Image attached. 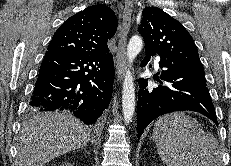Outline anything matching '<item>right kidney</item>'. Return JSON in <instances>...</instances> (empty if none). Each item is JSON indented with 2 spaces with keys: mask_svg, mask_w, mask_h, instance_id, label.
I'll use <instances>...</instances> for the list:
<instances>
[{
  "mask_svg": "<svg viewBox=\"0 0 231 166\" xmlns=\"http://www.w3.org/2000/svg\"><path fill=\"white\" fill-rule=\"evenodd\" d=\"M60 166H73V165L70 164V163H64V164H62V165H60Z\"/></svg>",
  "mask_w": 231,
  "mask_h": 166,
  "instance_id": "obj_1",
  "label": "right kidney"
}]
</instances>
